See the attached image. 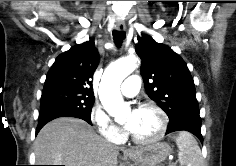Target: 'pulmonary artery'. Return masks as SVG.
<instances>
[{"instance_id":"pulmonary-artery-1","label":"pulmonary artery","mask_w":236,"mask_h":166,"mask_svg":"<svg viewBox=\"0 0 236 166\" xmlns=\"http://www.w3.org/2000/svg\"><path fill=\"white\" fill-rule=\"evenodd\" d=\"M140 84H141V79L139 75L133 74L129 76L122 84V87H121L122 95L126 97L135 96L137 92L139 91Z\"/></svg>"}]
</instances>
